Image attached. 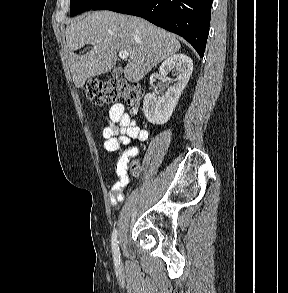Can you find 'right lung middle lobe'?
<instances>
[{
	"mask_svg": "<svg viewBox=\"0 0 288 293\" xmlns=\"http://www.w3.org/2000/svg\"><path fill=\"white\" fill-rule=\"evenodd\" d=\"M122 0H70V15L87 10H106Z\"/></svg>",
	"mask_w": 288,
	"mask_h": 293,
	"instance_id": "obj_1",
	"label": "right lung middle lobe"
}]
</instances>
